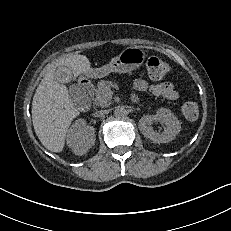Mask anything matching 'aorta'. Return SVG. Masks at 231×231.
<instances>
[{"instance_id": "obj_1", "label": "aorta", "mask_w": 231, "mask_h": 231, "mask_svg": "<svg viewBox=\"0 0 231 231\" xmlns=\"http://www.w3.org/2000/svg\"><path fill=\"white\" fill-rule=\"evenodd\" d=\"M114 115L116 118L121 119L127 115V111L123 106H117L114 110Z\"/></svg>"}]
</instances>
